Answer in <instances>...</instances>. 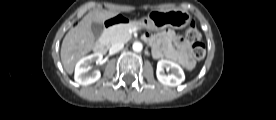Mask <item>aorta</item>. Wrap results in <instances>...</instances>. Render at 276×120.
I'll use <instances>...</instances> for the list:
<instances>
[{"instance_id":"762f6f07","label":"aorta","mask_w":276,"mask_h":120,"mask_svg":"<svg viewBox=\"0 0 276 120\" xmlns=\"http://www.w3.org/2000/svg\"><path fill=\"white\" fill-rule=\"evenodd\" d=\"M132 48L135 52H141L143 49V45L141 42H134Z\"/></svg>"}]
</instances>
